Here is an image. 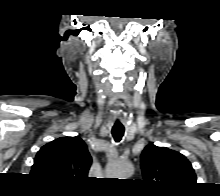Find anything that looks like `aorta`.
I'll return each instance as SVG.
<instances>
[{
    "mask_svg": "<svg viewBox=\"0 0 220 196\" xmlns=\"http://www.w3.org/2000/svg\"><path fill=\"white\" fill-rule=\"evenodd\" d=\"M133 173V165L129 161L115 160L108 164V174L118 179H127Z\"/></svg>",
    "mask_w": 220,
    "mask_h": 196,
    "instance_id": "obj_1",
    "label": "aorta"
}]
</instances>
